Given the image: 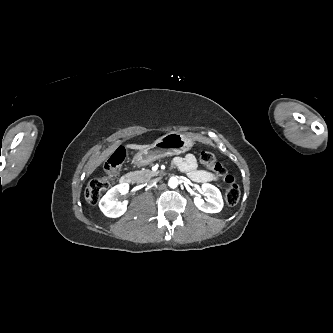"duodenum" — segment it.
Wrapping results in <instances>:
<instances>
[{
    "instance_id": "410a0bca",
    "label": "duodenum",
    "mask_w": 333,
    "mask_h": 333,
    "mask_svg": "<svg viewBox=\"0 0 333 333\" xmlns=\"http://www.w3.org/2000/svg\"><path fill=\"white\" fill-rule=\"evenodd\" d=\"M135 180V175L132 173H127L120 178L122 184H132Z\"/></svg>"
}]
</instances>
